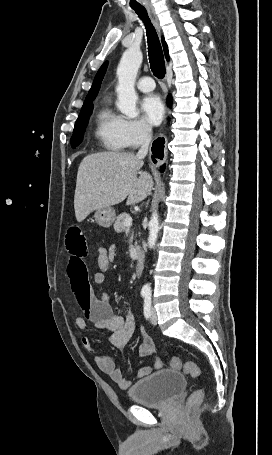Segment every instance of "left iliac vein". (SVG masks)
Listing matches in <instances>:
<instances>
[{
  "instance_id": "4c4485c4",
  "label": "left iliac vein",
  "mask_w": 272,
  "mask_h": 455,
  "mask_svg": "<svg viewBox=\"0 0 272 455\" xmlns=\"http://www.w3.org/2000/svg\"><path fill=\"white\" fill-rule=\"evenodd\" d=\"M150 320L153 325L157 324V314L156 310L152 307L150 311Z\"/></svg>"
}]
</instances>
